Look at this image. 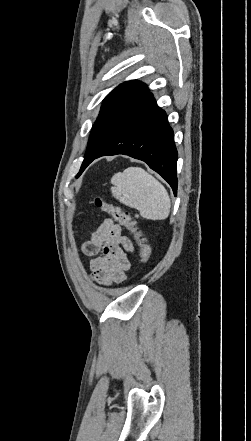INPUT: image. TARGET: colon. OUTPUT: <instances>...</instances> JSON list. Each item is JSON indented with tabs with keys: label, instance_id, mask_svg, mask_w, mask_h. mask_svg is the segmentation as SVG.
Wrapping results in <instances>:
<instances>
[{
	"label": "colon",
	"instance_id": "5ec220e1",
	"mask_svg": "<svg viewBox=\"0 0 251 441\" xmlns=\"http://www.w3.org/2000/svg\"><path fill=\"white\" fill-rule=\"evenodd\" d=\"M94 203L97 207L109 214L114 220H116L118 223H120L133 233L139 246L141 261L143 263H147L150 259L151 254L150 247L146 243L142 233L137 227L136 221L132 219L131 215L128 212H125L119 207L113 205L102 196L95 197Z\"/></svg>",
	"mask_w": 251,
	"mask_h": 441
}]
</instances>
